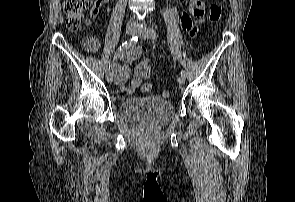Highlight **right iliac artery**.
<instances>
[{"mask_svg": "<svg viewBox=\"0 0 295 202\" xmlns=\"http://www.w3.org/2000/svg\"><path fill=\"white\" fill-rule=\"evenodd\" d=\"M139 40V35H135L133 36L130 40L123 42L119 47L118 50H122V49H127L130 47H134L136 45V43ZM106 71H110V63L109 66L107 67Z\"/></svg>", "mask_w": 295, "mask_h": 202, "instance_id": "82829eb1", "label": "right iliac artery"}]
</instances>
